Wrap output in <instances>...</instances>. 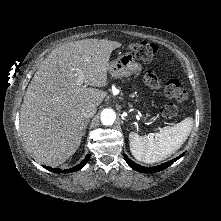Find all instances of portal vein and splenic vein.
Masks as SVG:
<instances>
[{
	"label": "portal vein and splenic vein",
	"mask_w": 221,
	"mask_h": 221,
	"mask_svg": "<svg viewBox=\"0 0 221 221\" xmlns=\"http://www.w3.org/2000/svg\"><path fill=\"white\" fill-rule=\"evenodd\" d=\"M76 71H77V74H78L76 83L78 85H81L83 83V80H84V74H83V72L80 69H76Z\"/></svg>",
	"instance_id": "1"
}]
</instances>
